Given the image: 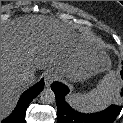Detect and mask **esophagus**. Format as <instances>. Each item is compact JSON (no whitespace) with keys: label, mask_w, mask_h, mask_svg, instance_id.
<instances>
[{"label":"esophagus","mask_w":123,"mask_h":123,"mask_svg":"<svg viewBox=\"0 0 123 123\" xmlns=\"http://www.w3.org/2000/svg\"><path fill=\"white\" fill-rule=\"evenodd\" d=\"M54 81V76L51 73H45L44 75V82H45V86L46 87H50V85L53 83Z\"/></svg>","instance_id":"esophagus-1"}]
</instances>
